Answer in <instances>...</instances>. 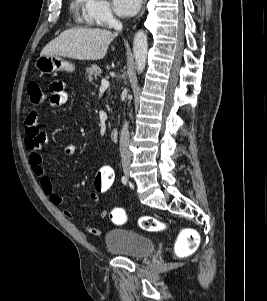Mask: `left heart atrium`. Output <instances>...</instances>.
<instances>
[{"label":"left heart atrium","mask_w":267,"mask_h":301,"mask_svg":"<svg viewBox=\"0 0 267 301\" xmlns=\"http://www.w3.org/2000/svg\"><path fill=\"white\" fill-rule=\"evenodd\" d=\"M113 3L118 15L128 17L138 12L142 0H113Z\"/></svg>","instance_id":"obj_1"}]
</instances>
